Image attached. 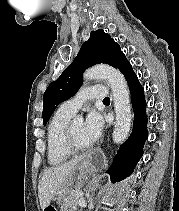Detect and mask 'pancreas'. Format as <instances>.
<instances>
[{"instance_id":"1","label":"pancreas","mask_w":179,"mask_h":211,"mask_svg":"<svg viewBox=\"0 0 179 211\" xmlns=\"http://www.w3.org/2000/svg\"><path fill=\"white\" fill-rule=\"evenodd\" d=\"M78 191H69L64 196L58 197V204L61 207V211H75V207L80 201V197L76 196Z\"/></svg>"}]
</instances>
